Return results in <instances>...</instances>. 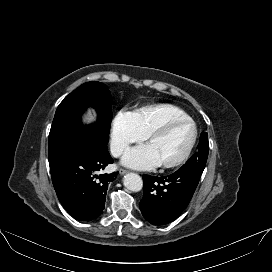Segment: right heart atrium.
<instances>
[{"mask_svg": "<svg viewBox=\"0 0 272 272\" xmlns=\"http://www.w3.org/2000/svg\"><path fill=\"white\" fill-rule=\"evenodd\" d=\"M144 135L138 130L132 112L121 109L112 119L110 148L114 156L123 155L133 143L141 142Z\"/></svg>", "mask_w": 272, "mask_h": 272, "instance_id": "d8ad5b80", "label": "right heart atrium"}]
</instances>
